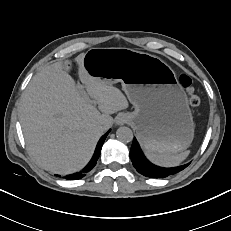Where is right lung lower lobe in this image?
Segmentation results:
<instances>
[{
	"mask_svg": "<svg viewBox=\"0 0 231 231\" xmlns=\"http://www.w3.org/2000/svg\"><path fill=\"white\" fill-rule=\"evenodd\" d=\"M109 132H110V130L105 135H103L101 137V139L99 140V142L97 144V147H96V150H95V153H94V156L91 159V161L89 162V164L82 171H79L77 173L65 176V179H68V180L80 179L94 168V166L96 165V162H97V160H98V158L100 156L103 142H104L106 136L109 134Z\"/></svg>",
	"mask_w": 231,
	"mask_h": 231,
	"instance_id": "98d812e1",
	"label": "right lung lower lobe"
}]
</instances>
